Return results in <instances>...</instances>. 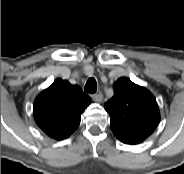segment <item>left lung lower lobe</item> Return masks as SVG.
<instances>
[{"instance_id":"left-lung-lower-lobe-1","label":"left lung lower lobe","mask_w":184,"mask_h":174,"mask_svg":"<svg viewBox=\"0 0 184 174\" xmlns=\"http://www.w3.org/2000/svg\"><path fill=\"white\" fill-rule=\"evenodd\" d=\"M121 142L126 143V144H138L141 143L137 140L130 139V138H122V137H117Z\"/></svg>"}]
</instances>
